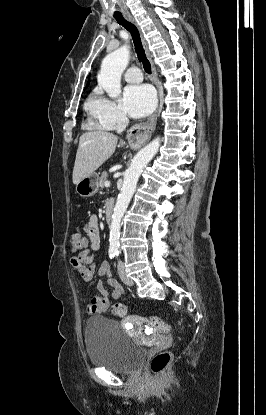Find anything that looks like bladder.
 Here are the masks:
<instances>
[{"mask_svg":"<svg viewBox=\"0 0 266 415\" xmlns=\"http://www.w3.org/2000/svg\"><path fill=\"white\" fill-rule=\"evenodd\" d=\"M85 346L92 365L124 374L137 372L147 353L119 322L104 316L87 319Z\"/></svg>","mask_w":266,"mask_h":415,"instance_id":"bladder-1","label":"bladder"}]
</instances>
